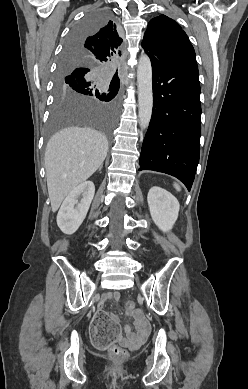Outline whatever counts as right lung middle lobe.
Segmentation results:
<instances>
[{"label": "right lung middle lobe", "mask_w": 248, "mask_h": 389, "mask_svg": "<svg viewBox=\"0 0 248 389\" xmlns=\"http://www.w3.org/2000/svg\"><path fill=\"white\" fill-rule=\"evenodd\" d=\"M110 18L111 13L107 10L91 11L72 30L65 48L74 43V40L93 34L109 22ZM79 68H87L84 69L87 73L69 77L74 70H80ZM100 73V66L84 63L80 56L68 60L64 56L61 57L49 135L65 127L92 126L111 139L115 123L113 112L120 85L112 81L109 84L107 76ZM89 96L96 97L100 102L90 101L87 98Z\"/></svg>", "instance_id": "obj_1"}]
</instances>
